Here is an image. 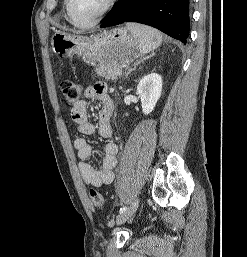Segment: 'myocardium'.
I'll return each instance as SVG.
<instances>
[{
    "instance_id": "obj_1",
    "label": "myocardium",
    "mask_w": 247,
    "mask_h": 257,
    "mask_svg": "<svg viewBox=\"0 0 247 257\" xmlns=\"http://www.w3.org/2000/svg\"><path fill=\"white\" fill-rule=\"evenodd\" d=\"M70 2L71 0H65V9H66V14L68 20L76 27L81 28V29H87L95 26L98 22H100L115 6L117 0H108L105 7L103 10L89 23L86 24H81L78 23L71 14V9H70Z\"/></svg>"
}]
</instances>
